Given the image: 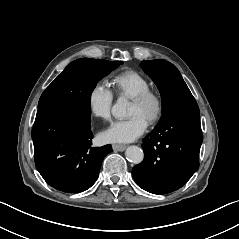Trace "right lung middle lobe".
I'll return each mask as SVG.
<instances>
[{
	"label": "right lung middle lobe",
	"mask_w": 239,
	"mask_h": 239,
	"mask_svg": "<svg viewBox=\"0 0 239 239\" xmlns=\"http://www.w3.org/2000/svg\"><path fill=\"white\" fill-rule=\"evenodd\" d=\"M122 63L90 58L73 61L43 92L38 108L64 100H79L90 106L91 93L98 81Z\"/></svg>",
	"instance_id": "1"
}]
</instances>
